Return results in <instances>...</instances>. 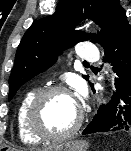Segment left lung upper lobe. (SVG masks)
<instances>
[{
  "mask_svg": "<svg viewBox=\"0 0 131 151\" xmlns=\"http://www.w3.org/2000/svg\"><path fill=\"white\" fill-rule=\"evenodd\" d=\"M87 18L101 27L99 37L74 30ZM130 33L126 12L119 0H60L53 15L37 20L25 32L9 78V100L24 83L50 67L62 49L91 38L93 43H102L106 50ZM88 77L83 75L86 80Z\"/></svg>",
  "mask_w": 131,
  "mask_h": 151,
  "instance_id": "left-lung-upper-lobe-1",
  "label": "left lung upper lobe"
}]
</instances>
